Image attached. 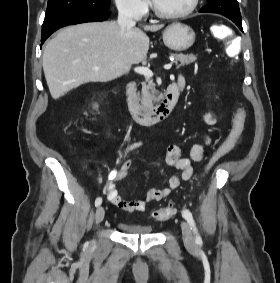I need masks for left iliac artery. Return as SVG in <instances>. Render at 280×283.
Listing matches in <instances>:
<instances>
[{
  "instance_id": "left-iliac-artery-1",
  "label": "left iliac artery",
  "mask_w": 280,
  "mask_h": 283,
  "mask_svg": "<svg viewBox=\"0 0 280 283\" xmlns=\"http://www.w3.org/2000/svg\"><path fill=\"white\" fill-rule=\"evenodd\" d=\"M182 214H183V217L187 220V222L189 223L194 235H195V239H196V242L197 243H201L202 242V239L198 233V229L196 227V224H195V221H194V218L192 216V213L188 210V209H184L182 211Z\"/></svg>"
}]
</instances>
